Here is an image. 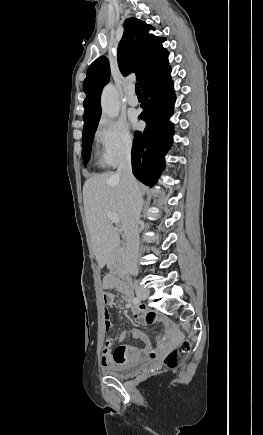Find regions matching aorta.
Returning <instances> with one entry per match:
<instances>
[{
    "mask_svg": "<svg viewBox=\"0 0 263 435\" xmlns=\"http://www.w3.org/2000/svg\"><path fill=\"white\" fill-rule=\"evenodd\" d=\"M102 113L110 118H115L119 114V102L117 92L113 85H107L101 96Z\"/></svg>",
    "mask_w": 263,
    "mask_h": 435,
    "instance_id": "aorta-1",
    "label": "aorta"
}]
</instances>
